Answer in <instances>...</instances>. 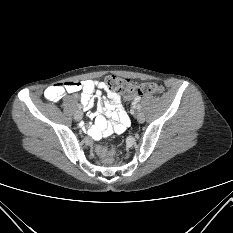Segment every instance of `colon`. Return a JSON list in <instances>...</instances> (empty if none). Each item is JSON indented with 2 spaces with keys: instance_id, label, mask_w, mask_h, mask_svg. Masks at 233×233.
<instances>
[{
  "instance_id": "5ec220e1",
  "label": "colon",
  "mask_w": 233,
  "mask_h": 233,
  "mask_svg": "<svg viewBox=\"0 0 233 233\" xmlns=\"http://www.w3.org/2000/svg\"><path fill=\"white\" fill-rule=\"evenodd\" d=\"M103 81L110 91L122 94L126 99L137 95L160 94L163 92V87L154 82L137 83L115 75H109ZM95 150L104 163L110 164L114 160L115 150L113 148L97 145Z\"/></svg>"
}]
</instances>
